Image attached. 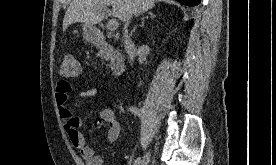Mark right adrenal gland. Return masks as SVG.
Segmentation results:
<instances>
[{
	"instance_id": "right-adrenal-gland-1",
	"label": "right adrenal gland",
	"mask_w": 276,
	"mask_h": 165,
	"mask_svg": "<svg viewBox=\"0 0 276 165\" xmlns=\"http://www.w3.org/2000/svg\"><path fill=\"white\" fill-rule=\"evenodd\" d=\"M149 16L151 17V18H154L155 17V15L152 13V12H148V15L147 16H143L140 20H141V25H143V23H144V20L145 19H148L149 18ZM137 26L138 25H135L134 26V28H133V32L135 31V29L137 28Z\"/></svg>"
}]
</instances>
